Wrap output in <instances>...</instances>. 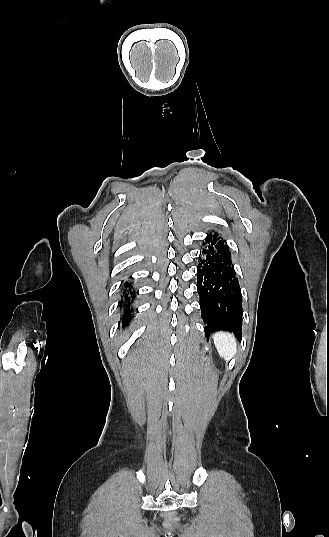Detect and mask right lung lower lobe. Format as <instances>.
I'll list each match as a JSON object with an SVG mask.
<instances>
[{
    "instance_id": "obj_1",
    "label": "right lung lower lobe",
    "mask_w": 329,
    "mask_h": 537,
    "mask_svg": "<svg viewBox=\"0 0 329 537\" xmlns=\"http://www.w3.org/2000/svg\"><path fill=\"white\" fill-rule=\"evenodd\" d=\"M135 296L136 292L133 290L132 282L124 283L121 289V298L124 300L125 304L132 302ZM128 317L130 318V307L125 305L121 316L122 321L124 322Z\"/></svg>"
}]
</instances>
